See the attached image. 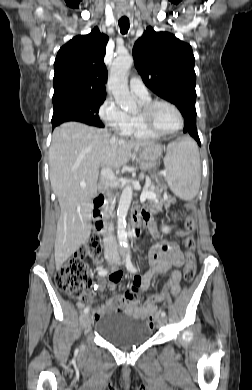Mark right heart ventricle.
I'll use <instances>...</instances> for the list:
<instances>
[{"instance_id": "right-heart-ventricle-1", "label": "right heart ventricle", "mask_w": 252, "mask_h": 390, "mask_svg": "<svg viewBox=\"0 0 252 390\" xmlns=\"http://www.w3.org/2000/svg\"><path fill=\"white\" fill-rule=\"evenodd\" d=\"M140 99V98H139ZM151 101V98L148 97L146 99H140V102L144 105ZM130 121V129L129 133L125 137H129L134 140L138 141H150L158 138L159 136H155L147 132L143 126L140 123V120L138 118V115H130L129 116Z\"/></svg>"}]
</instances>
